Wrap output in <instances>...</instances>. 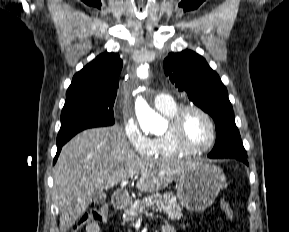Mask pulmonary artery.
I'll use <instances>...</instances> for the list:
<instances>
[{
	"label": "pulmonary artery",
	"mask_w": 289,
	"mask_h": 232,
	"mask_svg": "<svg viewBox=\"0 0 289 232\" xmlns=\"http://www.w3.org/2000/svg\"><path fill=\"white\" fill-rule=\"evenodd\" d=\"M173 102L172 97L164 93L157 94L154 98V105L159 110L169 107Z\"/></svg>",
	"instance_id": "pulmonary-artery-1"
}]
</instances>
